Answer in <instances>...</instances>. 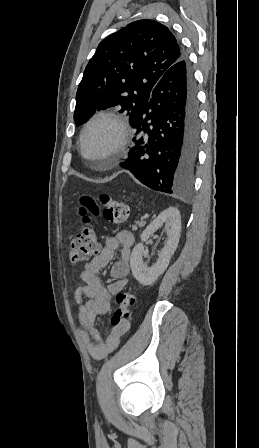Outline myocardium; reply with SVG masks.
<instances>
[{
	"instance_id": "myocardium-1",
	"label": "myocardium",
	"mask_w": 259,
	"mask_h": 448,
	"mask_svg": "<svg viewBox=\"0 0 259 448\" xmlns=\"http://www.w3.org/2000/svg\"><path fill=\"white\" fill-rule=\"evenodd\" d=\"M97 123H110L115 128V136L111 143L106 148V160L114 163L119 156V152L123 147L127 137V125L124 119L113 112H100L91 117L83 126L78 139V151L82 159L83 155V141L86 133L93 125Z\"/></svg>"
}]
</instances>
